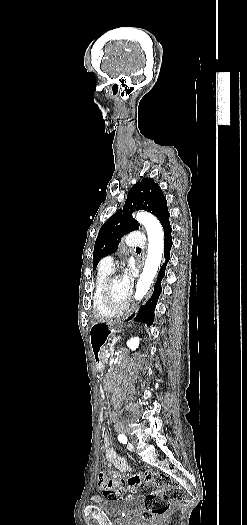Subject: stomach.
Masks as SVG:
<instances>
[{"label":"stomach","mask_w":247,"mask_h":525,"mask_svg":"<svg viewBox=\"0 0 247 525\" xmlns=\"http://www.w3.org/2000/svg\"><path fill=\"white\" fill-rule=\"evenodd\" d=\"M114 328L111 324L96 323L90 329V345L95 355L96 361L98 358V351L107 340L108 336L113 332Z\"/></svg>","instance_id":"obj_1"}]
</instances>
